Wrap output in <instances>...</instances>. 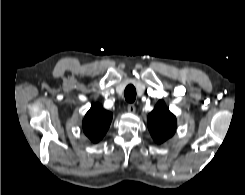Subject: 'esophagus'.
Instances as JSON below:
<instances>
[{
  "mask_svg": "<svg viewBox=\"0 0 245 195\" xmlns=\"http://www.w3.org/2000/svg\"><path fill=\"white\" fill-rule=\"evenodd\" d=\"M127 111H128L129 113H135V111H136L135 105H134V104H129V105L127 106Z\"/></svg>",
  "mask_w": 245,
  "mask_h": 195,
  "instance_id": "obj_1",
  "label": "esophagus"
}]
</instances>
